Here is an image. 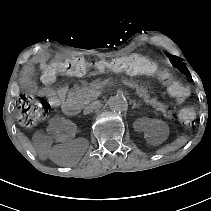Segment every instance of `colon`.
<instances>
[{"label":"colon","instance_id":"colon-1","mask_svg":"<svg viewBox=\"0 0 211 211\" xmlns=\"http://www.w3.org/2000/svg\"><path fill=\"white\" fill-rule=\"evenodd\" d=\"M88 70L97 72L111 71L129 75H156L169 86L170 93L180 102L189 96V89L174 80L166 71L152 59L138 55H128L111 60H99L88 63L80 57H69L64 60L51 61L42 66V81L50 84L59 75H84ZM18 121L25 127H32L47 118L51 105L45 97L34 94H23L18 99ZM181 122L192 126L196 120V110L193 107H184L179 112Z\"/></svg>","mask_w":211,"mask_h":211}]
</instances>
